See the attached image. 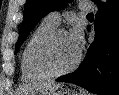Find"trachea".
<instances>
[{"mask_svg":"<svg viewBox=\"0 0 119 95\" xmlns=\"http://www.w3.org/2000/svg\"><path fill=\"white\" fill-rule=\"evenodd\" d=\"M87 16H94L93 13H89Z\"/></svg>","mask_w":119,"mask_h":95,"instance_id":"1","label":"trachea"}]
</instances>
